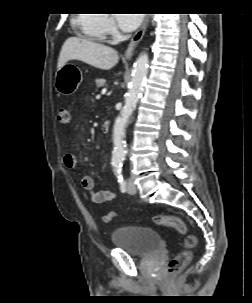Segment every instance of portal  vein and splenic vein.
<instances>
[{"label":"portal vein and splenic vein","mask_w":252,"mask_h":303,"mask_svg":"<svg viewBox=\"0 0 252 303\" xmlns=\"http://www.w3.org/2000/svg\"><path fill=\"white\" fill-rule=\"evenodd\" d=\"M106 91H107L106 88H104V89H102L101 93H102V94H105Z\"/></svg>","instance_id":"18ae733b"}]
</instances>
